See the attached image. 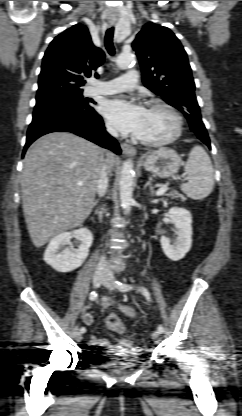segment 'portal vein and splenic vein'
Wrapping results in <instances>:
<instances>
[{
  "mask_svg": "<svg viewBox=\"0 0 242 416\" xmlns=\"http://www.w3.org/2000/svg\"><path fill=\"white\" fill-rule=\"evenodd\" d=\"M78 185H79V186H81L82 184H81V183H79ZM167 190H168L167 185H164V186L160 187V188L157 190V192H156V196H162V195H164V194L166 193V191H167Z\"/></svg>",
  "mask_w": 242,
  "mask_h": 416,
  "instance_id": "18ae733b",
  "label": "portal vein and splenic vein"
}]
</instances>
